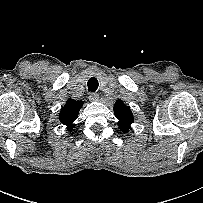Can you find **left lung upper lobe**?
<instances>
[{"instance_id":"5c2ea615","label":"left lung upper lobe","mask_w":203,"mask_h":203,"mask_svg":"<svg viewBox=\"0 0 203 203\" xmlns=\"http://www.w3.org/2000/svg\"><path fill=\"white\" fill-rule=\"evenodd\" d=\"M114 114L118 118L119 129L127 132L134 121L130 107L126 106L122 100H117L113 107Z\"/></svg>"}]
</instances>
